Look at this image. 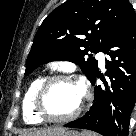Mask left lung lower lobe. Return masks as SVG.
I'll return each instance as SVG.
<instances>
[{
	"label": "left lung lower lobe",
	"mask_w": 136,
	"mask_h": 136,
	"mask_svg": "<svg viewBox=\"0 0 136 136\" xmlns=\"http://www.w3.org/2000/svg\"><path fill=\"white\" fill-rule=\"evenodd\" d=\"M108 82L95 86L94 101L81 118L64 127L95 131L102 136H128L130 114L136 98V14L131 7L105 45ZM97 71L89 79L96 83Z\"/></svg>",
	"instance_id": "1"
}]
</instances>
